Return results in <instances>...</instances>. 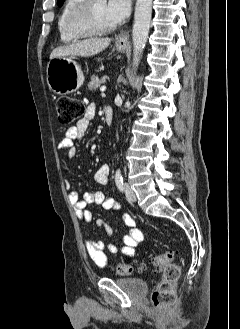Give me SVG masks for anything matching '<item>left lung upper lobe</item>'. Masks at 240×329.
<instances>
[{
    "instance_id": "left-lung-upper-lobe-1",
    "label": "left lung upper lobe",
    "mask_w": 240,
    "mask_h": 329,
    "mask_svg": "<svg viewBox=\"0 0 240 329\" xmlns=\"http://www.w3.org/2000/svg\"><path fill=\"white\" fill-rule=\"evenodd\" d=\"M64 0H57V4L61 6L63 4Z\"/></svg>"
}]
</instances>
